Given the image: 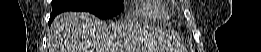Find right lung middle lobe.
<instances>
[{
  "instance_id": "1",
  "label": "right lung middle lobe",
  "mask_w": 261,
  "mask_h": 52,
  "mask_svg": "<svg viewBox=\"0 0 261 52\" xmlns=\"http://www.w3.org/2000/svg\"><path fill=\"white\" fill-rule=\"evenodd\" d=\"M124 9L122 0H52V12L87 11L99 18H111Z\"/></svg>"
}]
</instances>
